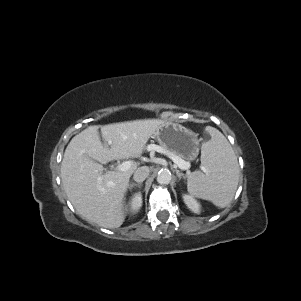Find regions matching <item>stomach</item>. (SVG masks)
<instances>
[{"label":"stomach","instance_id":"stomach-1","mask_svg":"<svg viewBox=\"0 0 301 301\" xmlns=\"http://www.w3.org/2000/svg\"><path fill=\"white\" fill-rule=\"evenodd\" d=\"M159 144L183 159L193 161L199 154L198 135L178 123L165 122L155 132Z\"/></svg>","mask_w":301,"mask_h":301}]
</instances>
